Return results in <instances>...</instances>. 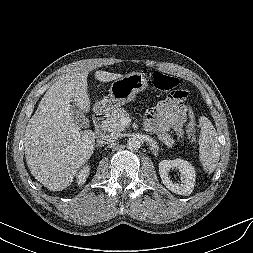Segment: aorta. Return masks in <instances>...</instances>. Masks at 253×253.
Instances as JSON below:
<instances>
[{
  "label": "aorta",
  "instance_id": "obj_1",
  "mask_svg": "<svg viewBox=\"0 0 253 253\" xmlns=\"http://www.w3.org/2000/svg\"><path fill=\"white\" fill-rule=\"evenodd\" d=\"M140 146H141V142L136 136L130 137L127 140V147L128 149L132 151L138 150Z\"/></svg>",
  "mask_w": 253,
  "mask_h": 253
}]
</instances>
